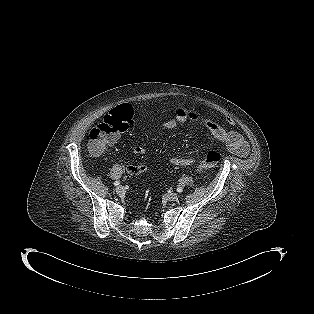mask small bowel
Returning <instances> with one entry per match:
<instances>
[{
  "mask_svg": "<svg viewBox=\"0 0 314 314\" xmlns=\"http://www.w3.org/2000/svg\"><path fill=\"white\" fill-rule=\"evenodd\" d=\"M172 119H168L163 123V128L170 130L176 127L179 122H186L188 120L200 121L208 129L211 136L223 144L230 152L239 156H247L249 153V145L244 138L238 132L226 129L219 122L207 118L202 114L195 111H188L184 105L178 104L172 108ZM228 124H231L229 119L226 120ZM119 140V136L109 145L112 146ZM133 153L137 155H143L146 152V148L142 145H136L132 148ZM170 162L175 166H188L193 163L190 158L174 157ZM146 170L143 165H129L127 166V172L129 174H140Z\"/></svg>",
  "mask_w": 314,
  "mask_h": 314,
  "instance_id": "1",
  "label": "small bowel"
}]
</instances>
